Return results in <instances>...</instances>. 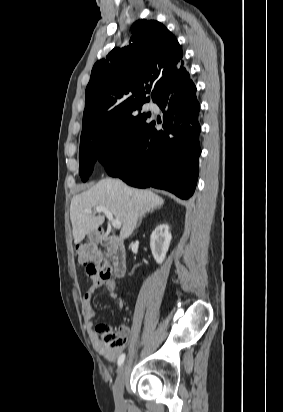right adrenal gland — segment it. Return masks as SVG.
<instances>
[{
	"mask_svg": "<svg viewBox=\"0 0 283 412\" xmlns=\"http://www.w3.org/2000/svg\"><path fill=\"white\" fill-rule=\"evenodd\" d=\"M141 220H142V217H140L138 225L141 223ZM138 225H137V226H138Z\"/></svg>",
	"mask_w": 283,
	"mask_h": 412,
	"instance_id": "right-adrenal-gland-1",
	"label": "right adrenal gland"
}]
</instances>
